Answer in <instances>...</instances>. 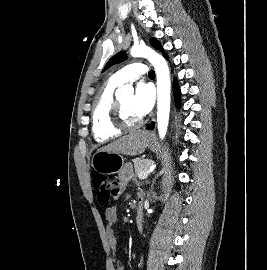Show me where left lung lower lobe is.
<instances>
[{"instance_id":"left-lung-lower-lobe-1","label":"left lung lower lobe","mask_w":267,"mask_h":270,"mask_svg":"<svg viewBox=\"0 0 267 270\" xmlns=\"http://www.w3.org/2000/svg\"><path fill=\"white\" fill-rule=\"evenodd\" d=\"M163 55L165 58L168 59L165 52H163ZM174 93H175V102L177 105H179V103H180V90H179V87H178L176 82L174 83ZM146 128L149 130H152L154 128V123L153 122L150 123Z\"/></svg>"}]
</instances>
